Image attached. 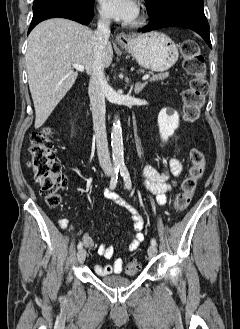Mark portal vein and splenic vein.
<instances>
[{
  "mask_svg": "<svg viewBox=\"0 0 240 329\" xmlns=\"http://www.w3.org/2000/svg\"><path fill=\"white\" fill-rule=\"evenodd\" d=\"M73 68L77 69L78 71L80 72H83L84 71V67L82 65H79V64H73L72 65ZM150 77L149 74H146L142 77V80H147L148 78Z\"/></svg>",
  "mask_w": 240,
  "mask_h": 329,
  "instance_id": "18ae733b",
  "label": "portal vein and splenic vein"
}]
</instances>
